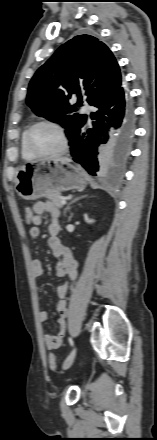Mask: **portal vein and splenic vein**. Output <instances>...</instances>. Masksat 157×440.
Wrapping results in <instances>:
<instances>
[{"instance_id":"1","label":"portal vein and splenic vein","mask_w":157,"mask_h":440,"mask_svg":"<svg viewBox=\"0 0 157 440\" xmlns=\"http://www.w3.org/2000/svg\"><path fill=\"white\" fill-rule=\"evenodd\" d=\"M61 204L65 205V204H66V200H65V199H62V200H61Z\"/></svg>"}]
</instances>
